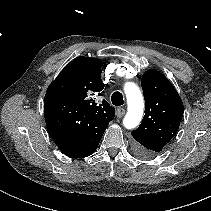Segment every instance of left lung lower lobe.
Wrapping results in <instances>:
<instances>
[{
	"label": "left lung lower lobe",
	"instance_id": "left-lung-lower-lobe-1",
	"mask_svg": "<svg viewBox=\"0 0 211 211\" xmlns=\"http://www.w3.org/2000/svg\"><path fill=\"white\" fill-rule=\"evenodd\" d=\"M135 154L136 156L141 157V158H148L153 155L151 152L144 149H140V148H136Z\"/></svg>",
	"mask_w": 211,
	"mask_h": 211
}]
</instances>
